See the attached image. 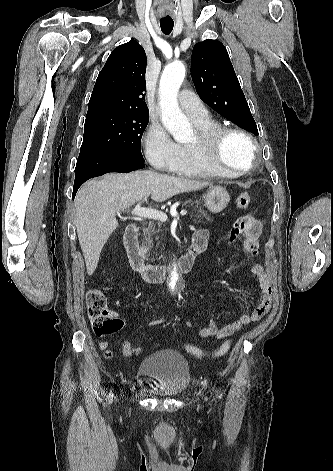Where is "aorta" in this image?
Here are the masks:
<instances>
[{
    "label": "aorta",
    "instance_id": "762f6f07",
    "mask_svg": "<svg viewBox=\"0 0 333 471\" xmlns=\"http://www.w3.org/2000/svg\"><path fill=\"white\" fill-rule=\"evenodd\" d=\"M185 78V66L182 62L168 64L161 75L159 83V99L162 123L171 133L176 142H187L192 135V127L178 105L177 95ZM179 279L175 265L171 272V281Z\"/></svg>",
    "mask_w": 333,
    "mask_h": 471
}]
</instances>
